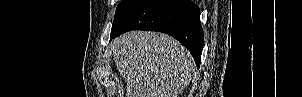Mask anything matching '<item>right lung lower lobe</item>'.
<instances>
[{
	"instance_id": "1",
	"label": "right lung lower lobe",
	"mask_w": 302,
	"mask_h": 97,
	"mask_svg": "<svg viewBox=\"0 0 302 97\" xmlns=\"http://www.w3.org/2000/svg\"><path fill=\"white\" fill-rule=\"evenodd\" d=\"M130 30L160 31L173 36L190 51L199 68L203 29L199 7L191 0H145L110 39Z\"/></svg>"
}]
</instances>
